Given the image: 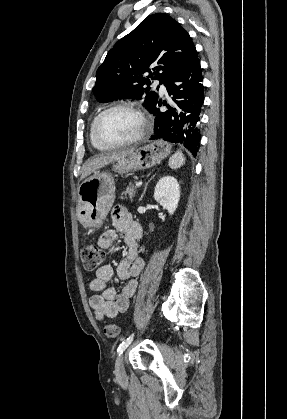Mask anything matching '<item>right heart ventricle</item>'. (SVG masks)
<instances>
[{
  "label": "right heart ventricle",
  "mask_w": 287,
  "mask_h": 419,
  "mask_svg": "<svg viewBox=\"0 0 287 419\" xmlns=\"http://www.w3.org/2000/svg\"><path fill=\"white\" fill-rule=\"evenodd\" d=\"M95 119H96V117L92 120L91 125H90V129H89V139H90V143H91V145H92L94 148H96V149H98V150H101V151L108 150L109 148H106V147H104V146L100 145V144L96 141V139H95V137H94V135H93V125H94V121H95Z\"/></svg>",
  "instance_id": "right-heart-ventricle-1"
}]
</instances>
